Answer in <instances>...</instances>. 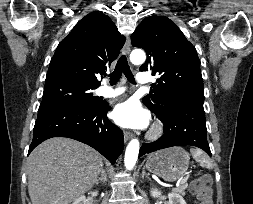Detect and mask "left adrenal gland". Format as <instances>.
Instances as JSON below:
<instances>
[{"label":"left adrenal gland","mask_w":253,"mask_h":204,"mask_svg":"<svg viewBox=\"0 0 253 204\" xmlns=\"http://www.w3.org/2000/svg\"><path fill=\"white\" fill-rule=\"evenodd\" d=\"M141 177L142 178L146 177L149 181L151 180L149 174L145 172V167H143Z\"/></svg>","instance_id":"obj_1"}]
</instances>
